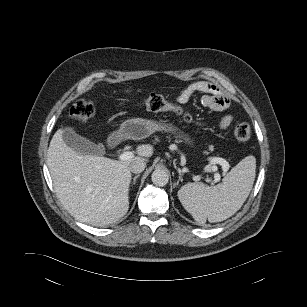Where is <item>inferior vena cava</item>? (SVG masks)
Wrapping results in <instances>:
<instances>
[{
  "label": "inferior vena cava",
  "instance_id": "inferior-vena-cava-1",
  "mask_svg": "<svg viewBox=\"0 0 307 307\" xmlns=\"http://www.w3.org/2000/svg\"><path fill=\"white\" fill-rule=\"evenodd\" d=\"M146 167V162L142 159L135 160L129 165V170L133 173H141Z\"/></svg>",
  "mask_w": 307,
  "mask_h": 307
}]
</instances>
